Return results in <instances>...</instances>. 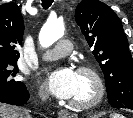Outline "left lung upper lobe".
Listing matches in <instances>:
<instances>
[{
    "instance_id": "obj_1",
    "label": "left lung upper lobe",
    "mask_w": 133,
    "mask_h": 118,
    "mask_svg": "<svg viewBox=\"0 0 133 118\" xmlns=\"http://www.w3.org/2000/svg\"><path fill=\"white\" fill-rule=\"evenodd\" d=\"M95 59L105 77L111 106L133 110V66L119 17L99 0H82L75 11Z\"/></svg>"
}]
</instances>
